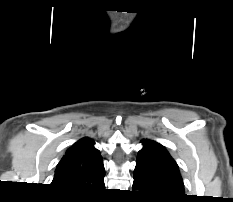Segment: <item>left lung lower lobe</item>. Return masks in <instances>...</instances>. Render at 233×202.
<instances>
[{"mask_svg":"<svg viewBox=\"0 0 233 202\" xmlns=\"http://www.w3.org/2000/svg\"><path fill=\"white\" fill-rule=\"evenodd\" d=\"M132 189H136L139 190V193L144 195L146 198L153 200V201H157V202H179L181 201L180 199H160L157 197H154L153 195H151L146 189L145 187L140 184L137 180L134 179L133 182V186Z\"/></svg>","mask_w":233,"mask_h":202,"instance_id":"left-lung-lower-lobe-1","label":"left lung lower lobe"}]
</instances>
